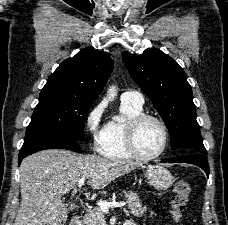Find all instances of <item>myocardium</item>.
<instances>
[{
  "mask_svg": "<svg viewBox=\"0 0 228 225\" xmlns=\"http://www.w3.org/2000/svg\"><path fill=\"white\" fill-rule=\"evenodd\" d=\"M147 120L156 121L162 127L164 132L163 146L159 152L153 155L144 154L138 146L139 129ZM169 139H170V134H169V129L167 124L162 118L158 117L157 115L141 113L131 118L130 121L128 122L127 129H126L127 145L129 150L132 152V154L137 158H140L143 160H153L161 157L168 148Z\"/></svg>",
  "mask_w": 228,
  "mask_h": 225,
  "instance_id": "f54148a6",
  "label": "myocardium"
}]
</instances>
